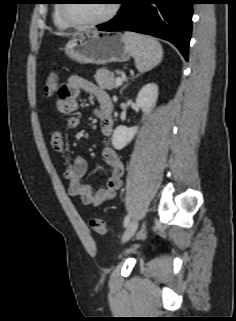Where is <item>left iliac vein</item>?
<instances>
[{"label":"left iliac vein","mask_w":236,"mask_h":321,"mask_svg":"<svg viewBox=\"0 0 236 321\" xmlns=\"http://www.w3.org/2000/svg\"><path fill=\"white\" fill-rule=\"evenodd\" d=\"M137 228H138V219L135 218L129 223V225L125 229L122 235V242H127L134 235Z\"/></svg>","instance_id":"4c4485c4"}]
</instances>
